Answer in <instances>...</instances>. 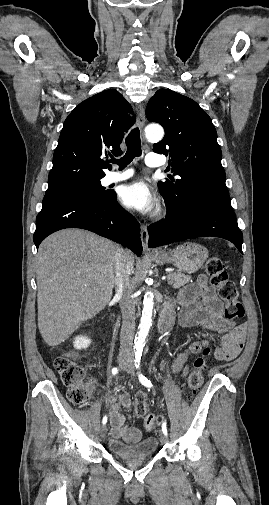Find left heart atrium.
<instances>
[{"mask_svg":"<svg viewBox=\"0 0 269 505\" xmlns=\"http://www.w3.org/2000/svg\"><path fill=\"white\" fill-rule=\"evenodd\" d=\"M120 200L127 208L141 213L150 212L156 205V197L153 191L142 181L123 187Z\"/></svg>","mask_w":269,"mask_h":505,"instance_id":"left-heart-atrium-1","label":"left heart atrium"}]
</instances>
